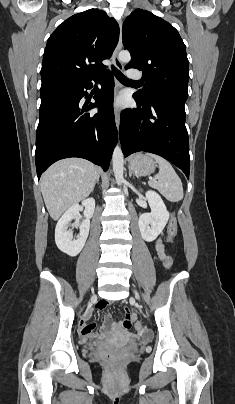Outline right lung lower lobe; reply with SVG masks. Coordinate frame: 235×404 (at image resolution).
<instances>
[{
  "mask_svg": "<svg viewBox=\"0 0 235 404\" xmlns=\"http://www.w3.org/2000/svg\"><path fill=\"white\" fill-rule=\"evenodd\" d=\"M101 76V89L95 94V103L89 105L82 106L80 100L98 77L61 82L41 90L35 151L38 179L51 164L68 157L85 158L104 171L108 169L118 139L113 110L114 78L111 72ZM96 106L98 113L84 114Z\"/></svg>",
  "mask_w": 235,
  "mask_h": 404,
  "instance_id": "1",
  "label": "right lung lower lobe"
}]
</instances>
